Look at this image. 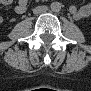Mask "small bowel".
I'll list each match as a JSON object with an SVG mask.
<instances>
[{"mask_svg":"<svg viewBox=\"0 0 91 91\" xmlns=\"http://www.w3.org/2000/svg\"><path fill=\"white\" fill-rule=\"evenodd\" d=\"M2 3H3L4 5H8V4L11 3V1H10V0H3ZM26 8H27V2H26L25 0H20V1L16 4V6H15V11H16L17 13H19V14H22V13H24V12L26 11ZM79 12H80V11L77 10L76 8H73V9H72V13H73L74 15H78Z\"/></svg>","mask_w":91,"mask_h":91,"instance_id":"c3829d8e","label":"small bowel"}]
</instances>
